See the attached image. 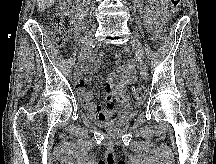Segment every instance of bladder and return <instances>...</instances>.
I'll return each instance as SVG.
<instances>
[{
  "mask_svg": "<svg viewBox=\"0 0 216 164\" xmlns=\"http://www.w3.org/2000/svg\"><path fill=\"white\" fill-rule=\"evenodd\" d=\"M137 113L132 107H121L116 110V116L106 121L97 120L95 123L104 127H118L127 124Z\"/></svg>",
  "mask_w": 216,
  "mask_h": 164,
  "instance_id": "bladder-1",
  "label": "bladder"
}]
</instances>
